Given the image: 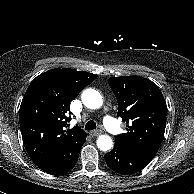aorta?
<instances>
[{"instance_id":"1","label":"aorta","mask_w":194,"mask_h":194,"mask_svg":"<svg viewBox=\"0 0 194 194\" xmlns=\"http://www.w3.org/2000/svg\"><path fill=\"white\" fill-rule=\"evenodd\" d=\"M83 104L90 109L100 108L103 104L101 94L94 89H86L81 95ZM97 146L101 151H108L112 148L113 142L110 136L100 135L97 139Z\"/></svg>"}]
</instances>
